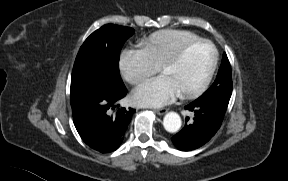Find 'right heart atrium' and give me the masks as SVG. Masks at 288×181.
Instances as JSON below:
<instances>
[{"instance_id":"1","label":"right heart atrium","mask_w":288,"mask_h":181,"mask_svg":"<svg viewBox=\"0 0 288 181\" xmlns=\"http://www.w3.org/2000/svg\"><path fill=\"white\" fill-rule=\"evenodd\" d=\"M118 64L122 76L133 85L144 82L157 71V67L149 61L144 51L138 47L123 49Z\"/></svg>"}]
</instances>
